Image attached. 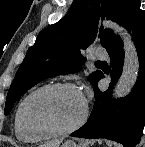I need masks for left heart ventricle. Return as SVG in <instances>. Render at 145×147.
<instances>
[{
	"instance_id": "b2bd125f",
	"label": "left heart ventricle",
	"mask_w": 145,
	"mask_h": 147,
	"mask_svg": "<svg viewBox=\"0 0 145 147\" xmlns=\"http://www.w3.org/2000/svg\"><path fill=\"white\" fill-rule=\"evenodd\" d=\"M83 112L81 95L69 89L54 90L38 95L28 106V115L35 122L64 129L79 120Z\"/></svg>"
}]
</instances>
